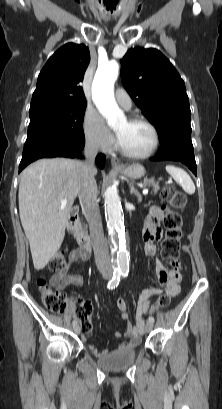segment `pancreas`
<instances>
[{
  "instance_id": "cf45deb5",
  "label": "pancreas",
  "mask_w": 222,
  "mask_h": 409,
  "mask_svg": "<svg viewBox=\"0 0 222 409\" xmlns=\"http://www.w3.org/2000/svg\"><path fill=\"white\" fill-rule=\"evenodd\" d=\"M144 186H152V192L156 195L160 189L159 184L154 179H145L142 183Z\"/></svg>"
}]
</instances>
